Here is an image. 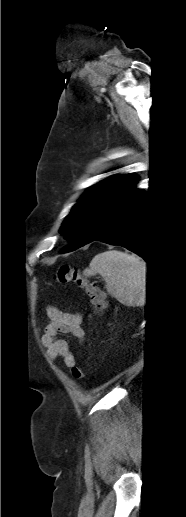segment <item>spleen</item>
Returning <instances> with one entry per match:
<instances>
[{
  "instance_id": "obj_1",
  "label": "spleen",
  "mask_w": 186,
  "mask_h": 517,
  "mask_svg": "<svg viewBox=\"0 0 186 517\" xmlns=\"http://www.w3.org/2000/svg\"><path fill=\"white\" fill-rule=\"evenodd\" d=\"M86 276L101 275L107 292L127 306L146 303L145 261L134 255L110 250L97 254L83 271Z\"/></svg>"
}]
</instances>
